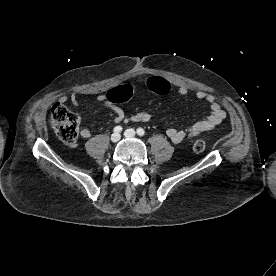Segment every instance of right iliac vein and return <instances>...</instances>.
Segmentation results:
<instances>
[{
    "mask_svg": "<svg viewBox=\"0 0 276 276\" xmlns=\"http://www.w3.org/2000/svg\"><path fill=\"white\" fill-rule=\"evenodd\" d=\"M119 140H120V134H119V133H113V134L111 135V141H112V142L116 143V142H118Z\"/></svg>",
    "mask_w": 276,
    "mask_h": 276,
    "instance_id": "right-iliac-vein-1",
    "label": "right iliac vein"
}]
</instances>
